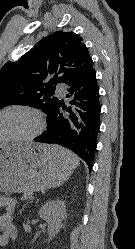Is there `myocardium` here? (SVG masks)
<instances>
[{"mask_svg":"<svg viewBox=\"0 0 135 249\" xmlns=\"http://www.w3.org/2000/svg\"><path fill=\"white\" fill-rule=\"evenodd\" d=\"M11 111H21L24 113L29 114L34 121V129L29 134L22 135V136H13L8 138L0 139V143H9V142H29L36 139L41 132L43 131L44 127V120L42 114L36 108L25 105V104H11L4 106L0 109V115L11 112Z\"/></svg>","mask_w":135,"mask_h":249,"instance_id":"f54148a6","label":"myocardium"}]
</instances>
